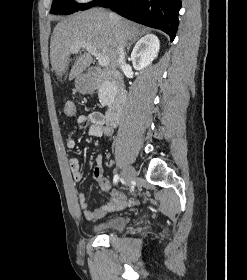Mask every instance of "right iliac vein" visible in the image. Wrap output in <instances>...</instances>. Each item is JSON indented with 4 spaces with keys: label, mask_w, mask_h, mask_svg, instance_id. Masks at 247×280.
Here are the masks:
<instances>
[{
    "label": "right iliac vein",
    "mask_w": 247,
    "mask_h": 280,
    "mask_svg": "<svg viewBox=\"0 0 247 280\" xmlns=\"http://www.w3.org/2000/svg\"><path fill=\"white\" fill-rule=\"evenodd\" d=\"M136 176V172L133 167L131 166H125L122 172V178L125 181V183L129 184L131 183Z\"/></svg>",
    "instance_id": "63e3f726"
}]
</instances>
